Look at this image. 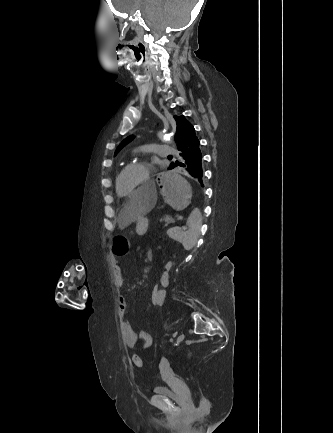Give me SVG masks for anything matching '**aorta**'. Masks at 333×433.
I'll list each match as a JSON object with an SVG mask.
<instances>
[{"instance_id": "1", "label": "aorta", "mask_w": 333, "mask_h": 433, "mask_svg": "<svg viewBox=\"0 0 333 433\" xmlns=\"http://www.w3.org/2000/svg\"><path fill=\"white\" fill-rule=\"evenodd\" d=\"M158 137H159V139L162 140V141L167 140L163 134H159Z\"/></svg>"}]
</instances>
